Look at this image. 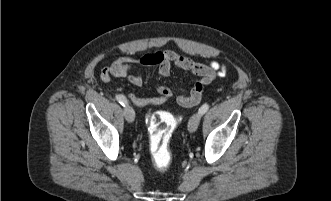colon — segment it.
Segmentation results:
<instances>
[{"instance_id":"colon-1","label":"colon","mask_w":331,"mask_h":201,"mask_svg":"<svg viewBox=\"0 0 331 201\" xmlns=\"http://www.w3.org/2000/svg\"><path fill=\"white\" fill-rule=\"evenodd\" d=\"M207 79L198 80L189 96L181 99L184 106L196 105L201 100ZM150 151L153 164L160 171L166 170L171 163L169 141L177 124V119L165 111H156L149 118Z\"/></svg>"}]
</instances>
